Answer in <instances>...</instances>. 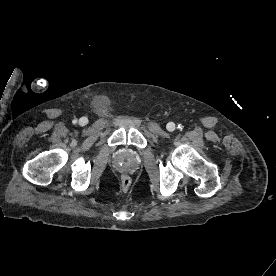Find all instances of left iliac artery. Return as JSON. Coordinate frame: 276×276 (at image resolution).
I'll return each instance as SVG.
<instances>
[{
    "instance_id": "44dca946",
    "label": "left iliac artery",
    "mask_w": 276,
    "mask_h": 276,
    "mask_svg": "<svg viewBox=\"0 0 276 276\" xmlns=\"http://www.w3.org/2000/svg\"><path fill=\"white\" fill-rule=\"evenodd\" d=\"M178 128H179L180 130H182L183 126H182V125H178Z\"/></svg>"
}]
</instances>
